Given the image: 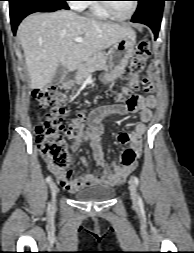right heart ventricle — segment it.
Returning a JSON list of instances; mask_svg holds the SVG:
<instances>
[{"label": "right heart ventricle", "instance_id": "right-heart-ventricle-1", "mask_svg": "<svg viewBox=\"0 0 194 253\" xmlns=\"http://www.w3.org/2000/svg\"><path fill=\"white\" fill-rule=\"evenodd\" d=\"M88 14L96 19L106 20L110 17L108 14L100 7L99 3L91 2L88 4Z\"/></svg>", "mask_w": 194, "mask_h": 253}]
</instances>
